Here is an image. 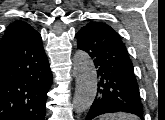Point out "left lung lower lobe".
I'll return each mask as SVG.
<instances>
[{
  "label": "left lung lower lobe",
  "mask_w": 165,
  "mask_h": 120,
  "mask_svg": "<svg viewBox=\"0 0 165 120\" xmlns=\"http://www.w3.org/2000/svg\"><path fill=\"white\" fill-rule=\"evenodd\" d=\"M77 46L97 68V96L85 120L110 112H128L143 119L133 64L119 35L104 23L90 22L76 34Z\"/></svg>",
  "instance_id": "obj_1"
}]
</instances>
